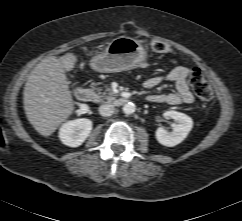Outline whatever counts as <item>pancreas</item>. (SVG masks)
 <instances>
[{
  "mask_svg": "<svg viewBox=\"0 0 242 221\" xmlns=\"http://www.w3.org/2000/svg\"><path fill=\"white\" fill-rule=\"evenodd\" d=\"M106 91H110V89L109 88H107L106 89ZM108 95L109 96H106V93L105 92H101V89H97V94L95 95V99H94V101L95 102H100V101H102V99H107L108 101H112V100H114V95H115V93L114 92H112V91H110L109 93H108Z\"/></svg>",
  "mask_w": 242,
  "mask_h": 221,
  "instance_id": "1",
  "label": "pancreas"
}]
</instances>
